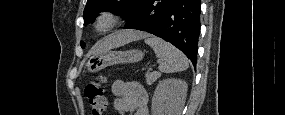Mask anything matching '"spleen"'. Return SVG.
<instances>
[{
	"label": "spleen",
	"mask_w": 285,
	"mask_h": 115,
	"mask_svg": "<svg viewBox=\"0 0 285 115\" xmlns=\"http://www.w3.org/2000/svg\"><path fill=\"white\" fill-rule=\"evenodd\" d=\"M145 43L153 48L156 56L162 61L158 67L161 72H180L189 67L187 57L169 42L155 36H149L145 39Z\"/></svg>",
	"instance_id": "obj_1"
}]
</instances>
